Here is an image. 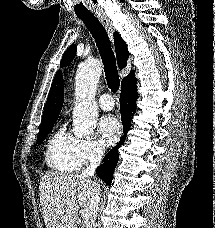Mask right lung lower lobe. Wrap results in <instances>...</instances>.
I'll list each match as a JSON object with an SVG mask.
<instances>
[{
  "label": "right lung lower lobe",
  "mask_w": 215,
  "mask_h": 228,
  "mask_svg": "<svg viewBox=\"0 0 215 228\" xmlns=\"http://www.w3.org/2000/svg\"><path fill=\"white\" fill-rule=\"evenodd\" d=\"M134 73L123 78L120 94V112L124 136L117 147H114L103 159L104 163L96 169V174L107 185L111 184L113 172L119 159L118 148L125 142L126 134L131 127V118L136 112L137 88Z\"/></svg>",
  "instance_id": "obj_1"
}]
</instances>
